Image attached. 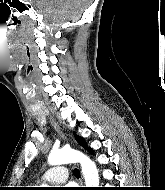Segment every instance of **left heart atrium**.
<instances>
[{
    "label": "left heart atrium",
    "instance_id": "39dd6f15",
    "mask_svg": "<svg viewBox=\"0 0 165 190\" xmlns=\"http://www.w3.org/2000/svg\"><path fill=\"white\" fill-rule=\"evenodd\" d=\"M64 190H73L72 187H66Z\"/></svg>",
    "mask_w": 165,
    "mask_h": 190
}]
</instances>
